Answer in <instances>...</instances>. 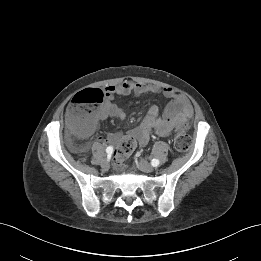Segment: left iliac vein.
I'll return each mask as SVG.
<instances>
[{"mask_svg": "<svg viewBox=\"0 0 261 261\" xmlns=\"http://www.w3.org/2000/svg\"><path fill=\"white\" fill-rule=\"evenodd\" d=\"M137 167L141 171L146 172V173H151L154 171V167L150 163H148L146 160H143V159H140L137 162Z\"/></svg>", "mask_w": 261, "mask_h": 261, "instance_id": "1", "label": "left iliac vein"}]
</instances>
